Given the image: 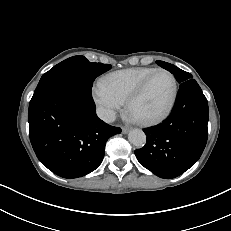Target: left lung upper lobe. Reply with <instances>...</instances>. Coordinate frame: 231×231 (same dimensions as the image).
I'll use <instances>...</instances> for the list:
<instances>
[{"label":"left lung upper lobe","mask_w":231,"mask_h":231,"mask_svg":"<svg viewBox=\"0 0 231 231\" xmlns=\"http://www.w3.org/2000/svg\"><path fill=\"white\" fill-rule=\"evenodd\" d=\"M158 65H160L161 67H163L164 69L170 71L172 74H174L176 80L179 83H182L186 80L192 79V75L189 74L188 72H185L183 70H181L180 68L167 63V62H163V61H157L156 62Z\"/></svg>","instance_id":"5c2ea615"}]
</instances>
